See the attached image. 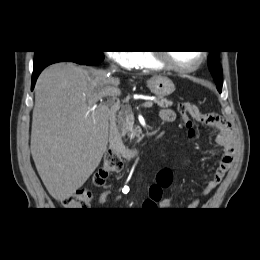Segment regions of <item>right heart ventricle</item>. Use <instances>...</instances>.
Instances as JSON below:
<instances>
[{"label":"right heart ventricle","mask_w":260,"mask_h":260,"mask_svg":"<svg viewBox=\"0 0 260 260\" xmlns=\"http://www.w3.org/2000/svg\"><path fill=\"white\" fill-rule=\"evenodd\" d=\"M137 66L151 70L162 69V66L158 62H156L151 54L147 51L139 53V62Z\"/></svg>","instance_id":"1"}]
</instances>
